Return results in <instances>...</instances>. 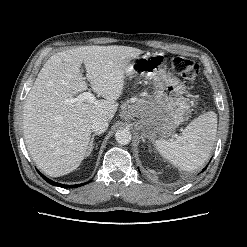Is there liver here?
Masks as SVG:
<instances>
[{
    "instance_id": "6515ba94",
    "label": "liver",
    "mask_w": 247,
    "mask_h": 247,
    "mask_svg": "<svg viewBox=\"0 0 247 247\" xmlns=\"http://www.w3.org/2000/svg\"><path fill=\"white\" fill-rule=\"evenodd\" d=\"M143 53L128 46H79L51 56L40 70L24 105L27 149L47 175H66L88 155L92 120L114 117L125 84V68ZM84 63L86 76L80 67ZM104 99L67 104L88 89Z\"/></svg>"
}]
</instances>
